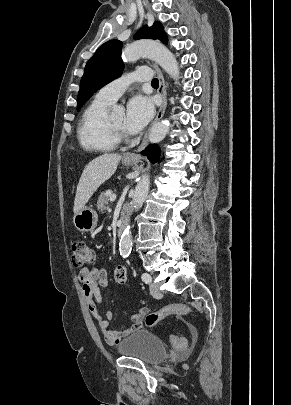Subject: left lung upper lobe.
<instances>
[{
    "instance_id": "5c2ea615",
    "label": "left lung upper lobe",
    "mask_w": 291,
    "mask_h": 405,
    "mask_svg": "<svg viewBox=\"0 0 291 405\" xmlns=\"http://www.w3.org/2000/svg\"><path fill=\"white\" fill-rule=\"evenodd\" d=\"M142 38L158 39L165 44L168 42L167 35L159 21L154 22L150 28L142 27L134 36V39ZM121 52L122 42L111 40L101 45L87 62L80 82L77 110H80L94 92L121 75L123 70Z\"/></svg>"
}]
</instances>
